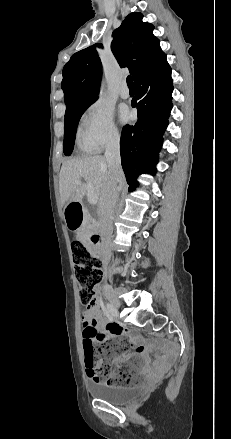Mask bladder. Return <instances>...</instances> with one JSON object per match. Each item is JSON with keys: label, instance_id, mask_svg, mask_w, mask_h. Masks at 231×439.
Returning <instances> with one entry per match:
<instances>
[{"label": "bladder", "instance_id": "1", "mask_svg": "<svg viewBox=\"0 0 231 439\" xmlns=\"http://www.w3.org/2000/svg\"><path fill=\"white\" fill-rule=\"evenodd\" d=\"M89 392L96 399L112 404H122L138 398L142 390L138 386H114L104 383H95L90 385Z\"/></svg>", "mask_w": 231, "mask_h": 439}]
</instances>
